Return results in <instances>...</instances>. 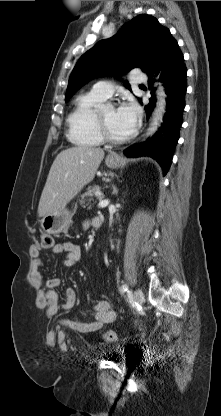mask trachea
I'll return each instance as SVG.
<instances>
[{
    "instance_id": "obj_1",
    "label": "trachea",
    "mask_w": 221,
    "mask_h": 416,
    "mask_svg": "<svg viewBox=\"0 0 221 416\" xmlns=\"http://www.w3.org/2000/svg\"><path fill=\"white\" fill-rule=\"evenodd\" d=\"M139 86H144L143 84H140Z\"/></svg>"
}]
</instances>
